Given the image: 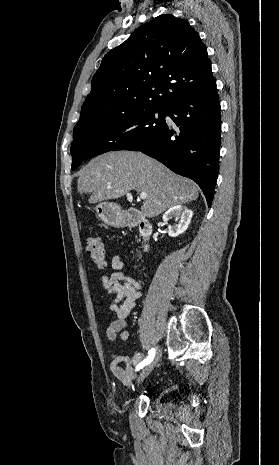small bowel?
Segmentation results:
<instances>
[{"instance_id":"obj_1","label":"small bowel","mask_w":279,"mask_h":465,"mask_svg":"<svg viewBox=\"0 0 279 465\" xmlns=\"http://www.w3.org/2000/svg\"><path fill=\"white\" fill-rule=\"evenodd\" d=\"M123 267L124 261L122 257L115 255L112 258L114 272L104 274L101 278L102 286L110 296L109 310L117 316L116 320L111 322L106 330V336L112 342L117 339L118 334L122 342L129 341V333L124 330L125 319L141 296L140 283L123 273ZM144 357L141 352L136 353L133 357L112 353L110 370L123 385L129 386L136 378V368L145 360ZM121 364L124 366H121Z\"/></svg>"}]
</instances>
